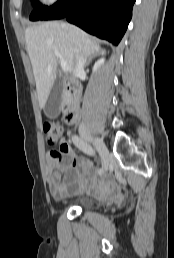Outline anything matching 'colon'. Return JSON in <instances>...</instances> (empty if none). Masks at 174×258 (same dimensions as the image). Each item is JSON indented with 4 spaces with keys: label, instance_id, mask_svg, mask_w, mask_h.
<instances>
[{
    "label": "colon",
    "instance_id": "5ec220e1",
    "mask_svg": "<svg viewBox=\"0 0 174 258\" xmlns=\"http://www.w3.org/2000/svg\"><path fill=\"white\" fill-rule=\"evenodd\" d=\"M43 129L46 134L47 142L51 146L58 145L66 133V126L63 123L56 121L46 122ZM63 149L64 147L61 145L60 150L51 151L52 156L55 158L61 157Z\"/></svg>",
    "mask_w": 174,
    "mask_h": 258
}]
</instances>
